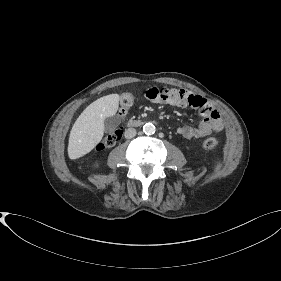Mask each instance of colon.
I'll return each mask as SVG.
<instances>
[{
    "label": "colon",
    "instance_id": "colon-1",
    "mask_svg": "<svg viewBox=\"0 0 281 281\" xmlns=\"http://www.w3.org/2000/svg\"><path fill=\"white\" fill-rule=\"evenodd\" d=\"M135 96L132 93H124L121 95L119 99V111L122 116L126 115L130 107L132 106L134 102ZM122 137V131L120 129L109 133L104 137V139L97 144L96 150L102 151L105 148L114 146ZM203 147L206 149H217L220 147V143L215 138H208L203 141Z\"/></svg>",
    "mask_w": 281,
    "mask_h": 281
}]
</instances>
